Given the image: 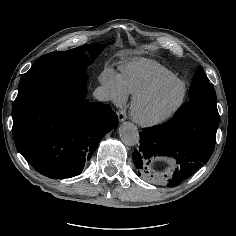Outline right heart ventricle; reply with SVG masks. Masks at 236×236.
I'll use <instances>...</instances> for the list:
<instances>
[{
  "mask_svg": "<svg viewBox=\"0 0 236 236\" xmlns=\"http://www.w3.org/2000/svg\"><path fill=\"white\" fill-rule=\"evenodd\" d=\"M121 79L131 95L161 79L175 77V74L152 59L138 57L123 62L120 66Z\"/></svg>",
  "mask_w": 236,
  "mask_h": 236,
  "instance_id": "1",
  "label": "right heart ventricle"
}]
</instances>
